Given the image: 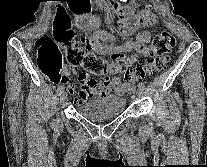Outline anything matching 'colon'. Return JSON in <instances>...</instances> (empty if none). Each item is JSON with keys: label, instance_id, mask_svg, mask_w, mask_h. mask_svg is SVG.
Returning <instances> with one entry per match:
<instances>
[{"label": "colon", "instance_id": "5ec220e1", "mask_svg": "<svg viewBox=\"0 0 207 167\" xmlns=\"http://www.w3.org/2000/svg\"><path fill=\"white\" fill-rule=\"evenodd\" d=\"M53 27V37L42 36L35 44L37 66L51 82L58 83L62 77L63 52L68 64L80 66L90 74L102 76L110 72L111 63L97 56L90 49H82L78 46L70 14L66 9L62 8L56 13ZM174 46L175 38L164 31L153 38L148 48L149 55L153 58L145 60L134 69L129 67L135 56L120 59L119 64L124 71L125 83L132 85L136 81L154 76L164 70L169 61V52Z\"/></svg>", "mask_w": 207, "mask_h": 167}]
</instances>
